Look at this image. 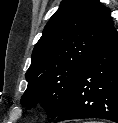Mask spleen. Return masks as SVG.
<instances>
[{"instance_id":"1","label":"spleen","mask_w":118,"mask_h":123,"mask_svg":"<svg viewBox=\"0 0 118 123\" xmlns=\"http://www.w3.org/2000/svg\"><path fill=\"white\" fill-rule=\"evenodd\" d=\"M89 123H99V122H89Z\"/></svg>"}]
</instances>
